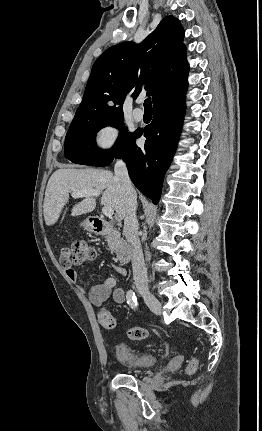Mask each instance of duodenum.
Masks as SVG:
<instances>
[{"instance_id":"duodenum-1","label":"duodenum","mask_w":262,"mask_h":431,"mask_svg":"<svg viewBox=\"0 0 262 431\" xmlns=\"http://www.w3.org/2000/svg\"><path fill=\"white\" fill-rule=\"evenodd\" d=\"M90 225L97 234H109L114 231L112 224L96 216L90 218ZM117 255L121 262L128 263L131 259V246L126 242L118 241Z\"/></svg>"}]
</instances>
